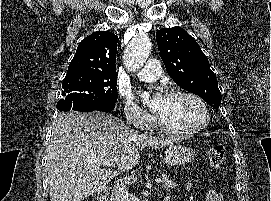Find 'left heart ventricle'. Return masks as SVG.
Masks as SVG:
<instances>
[{"label":"left heart ventricle","mask_w":271,"mask_h":201,"mask_svg":"<svg viewBox=\"0 0 271 201\" xmlns=\"http://www.w3.org/2000/svg\"><path fill=\"white\" fill-rule=\"evenodd\" d=\"M159 119L176 131H188L202 123L204 116L200 106L187 97L164 98Z\"/></svg>","instance_id":"left-heart-ventricle-1"}]
</instances>
